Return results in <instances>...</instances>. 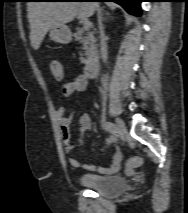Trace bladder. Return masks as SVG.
<instances>
[{"instance_id":"1","label":"bladder","mask_w":188,"mask_h":213,"mask_svg":"<svg viewBox=\"0 0 188 213\" xmlns=\"http://www.w3.org/2000/svg\"><path fill=\"white\" fill-rule=\"evenodd\" d=\"M78 184L106 197L120 195L127 188V181L121 176H105L94 173L79 176Z\"/></svg>"}]
</instances>
